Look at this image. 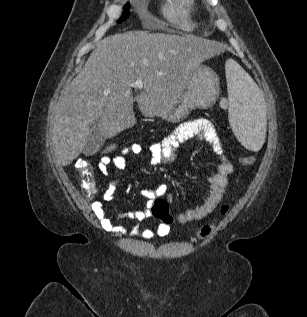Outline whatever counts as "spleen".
Listing matches in <instances>:
<instances>
[{
    "mask_svg": "<svg viewBox=\"0 0 307 317\" xmlns=\"http://www.w3.org/2000/svg\"><path fill=\"white\" fill-rule=\"evenodd\" d=\"M225 70L231 128L245 148L258 151L266 135V109L262 92L236 61L227 60Z\"/></svg>",
    "mask_w": 307,
    "mask_h": 317,
    "instance_id": "spleen-1",
    "label": "spleen"
}]
</instances>
